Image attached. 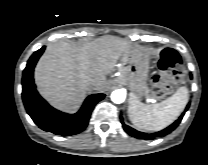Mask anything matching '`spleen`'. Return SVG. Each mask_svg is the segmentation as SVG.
I'll list each match as a JSON object with an SVG mask.
<instances>
[{
	"label": "spleen",
	"mask_w": 208,
	"mask_h": 165,
	"mask_svg": "<svg viewBox=\"0 0 208 165\" xmlns=\"http://www.w3.org/2000/svg\"><path fill=\"white\" fill-rule=\"evenodd\" d=\"M188 102V89L180 87L168 99L152 105H146L130 95L128 116L130 121L140 129L159 131L173 123L184 110Z\"/></svg>",
	"instance_id": "1"
}]
</instances>
